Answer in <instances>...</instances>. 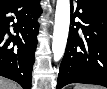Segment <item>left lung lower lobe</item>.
Listing matches in <instances>:
<instances>
[{
  "mask_svg": "<svg viewBox=\"0 0 107 89\" xmlns=\"http://www.w3.org/2000/svg\"><path fill=\"white\" fill-rule=\"evenodd\" d=\"M76 13L81 22L71 21L73 27L59 69L57 89L70 83L107 87V8L78 0Z\"/></svg>",
  "mask_w": 107,
  "mask_h": 89,
  "instance_id": "0a47b994",
  "label": "left lung lower lobe"
}]
</instances>
